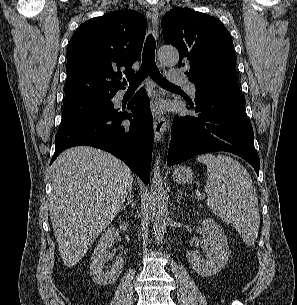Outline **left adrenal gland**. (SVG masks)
<instances>
[{
	"label": "left adrenal gland",
	"instance_id": "obj_1",
	"mask_svg": "<svg viewBox=\"0 0 297 305\" xmlns=\"http://www.w3.org/2000/svg\"><path fill=\"white\" fill-rule=\"evenodd\" d=\"M187 194L186 193H183L182 190L180 189L179 190V194H178V198H177V201L181 200L183 198V196H186Z\"/></svg>",
	"mask_w": 297,
	"mask_h": 305
}]
</instances>
